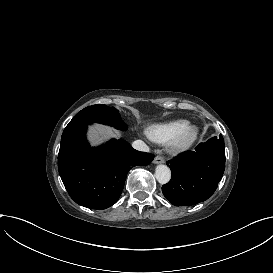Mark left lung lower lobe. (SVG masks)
Returning a JSON list of instances; mask_svg holds the SVG:
<instances>
[{
	"label": "left lung lower lobe",
	"instance_id": "0a47b994",
	"mask_svg": "<svg viewBox=\"0 0 273 273\" xmlns=\"http://www.w3.org/2000/svg\"><path fill=\"white\" fill-rule=\"evenodd\" d=\"M172 178L162 186L165 198L175 206H190L207 200L215 192L225 169L224 139L213 137L195 151L168 161Z\"/></svg>",
	"mask_w": 273,
	"mask_h": 273
}]
</instances>
